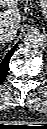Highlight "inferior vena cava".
I'll return each instance as SVG.
<instances>
[{"label":"inferior vena cava","instance_id":"602c4592","mask_svg":"<svg viewBox=\"0 0 47 129\" xmlns=\"http://www.w3.org/2000/svg\"><path fill=\"white\" fill-rule=\"evenodd\" d=\"M15 31L9 28L0 29V41H12L15 38Z\"/></svg>","mask_w":47,"mask_h":129}]
</instances>
